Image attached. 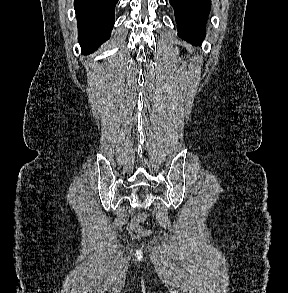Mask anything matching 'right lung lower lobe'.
Segmentation results:
<instances>
[{
	"instance_id": "1",
	"label": "right lung lower lobe",
	"mask_w": 288,
	"mask_h": 293,
	"mask_svg": "<svg viewBox=\"0 0 288 293\" xmlns=\"http://www.w3.org/2000/svg\"><path fill=\"white\" fill-rule=\"evenodd\" d=\"M117 2L118 0H74L78 38L83 54L94 52L110 37Z\"/></svg>"
}]
</instances>
